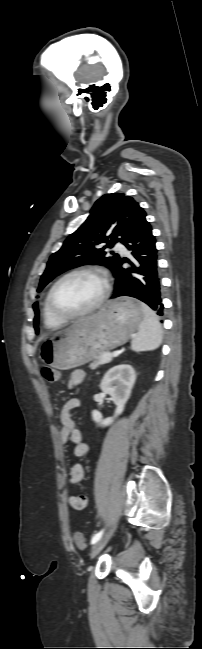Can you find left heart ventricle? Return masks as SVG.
I'll use <instances>...</instances> for the list:
<instances>
[{"label": "left heart ventricle", "instance_id": "left-heart-ventricle-1", "mask_svg": "<svg viewBox=\"0 0 202 649\" xmlns=\"http://www.w3.org/2000/svg\"><path fill=\"white\" fill-rule=\"evenodd\" d=\"M102 280L92 274H76L66 278L56 288L54 299L60 309L78 312L91 306L101 295Z\"/></svg>", "mask_w": 202, "mask_h": 649}]
</instances>
